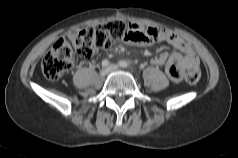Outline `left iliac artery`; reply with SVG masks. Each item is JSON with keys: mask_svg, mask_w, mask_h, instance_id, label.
<instances>
[{"mask_svg": "<svg viewBox=\"0 0 238 158\" xmlns=\"http://www.w3.org/2000/svg\"><path fill=\"white\" fill-rule=\"evenodd\" d=\"M119 66H120V67H123V68H126V67L129 66V64H128L126 61H120V62H119Z\"/></svg>", "mask_w": 238, "mask_h": 158, "instance_id": "1", "label": "left iliac artery"}]
</instances>
